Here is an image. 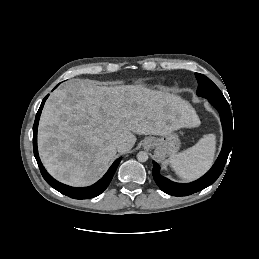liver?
Wrapping results in <instances>:
<instances>
[{"label":"liver","instance_id":"6515ba94","mask_svg":"<svg viewBox=\"0 0 259 259\" xmlns=\"http://www.w3.org/2000/svg\"><path fill=\"white\" fill-rule=\"evenodd\" d=\"M191 105L178 96L140 85L99 86L72 79L44 106L38 149L47 171L71 186H85L106 170L116 153L128 152L138 135L164 136L196 127ZM124 144L117 148L115 139Z\"/></svg>","mask_w":259,"mask_h":259}]
</instances>
